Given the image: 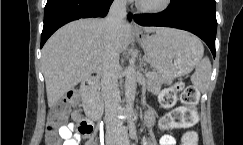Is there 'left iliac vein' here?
Instances as JSON below:
<instances>
[{
    "label": "left iliac vein",
    "mask_w": 243,
    "mask_h": 145,
    "mask_svg": "<svg viewBox=\"0 0 243 145\" xmlns=\"http://www.w3.org/2000/svg\"><path fill=\"white\" fill-rule=\"evenodd\" d=\"M117 145H130L129 137L125 128L122 129L121 134L117 138Z\"/></svg>",
    "instance_id": "4c4485c4"
}]
</instances>
